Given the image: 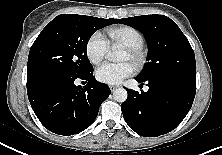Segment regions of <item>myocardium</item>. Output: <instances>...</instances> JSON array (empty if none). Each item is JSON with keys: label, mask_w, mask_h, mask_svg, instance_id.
<instances>
[{"label": "myocardium", "mask_w": 222, "mask_h": 155, "mask_svg": "<svg viewBox=\"0 0 222 155\" xmlns=\"http://www.w3.org/2000/svg\"><path fill=\"white\" fill-rule=\"evenodd\" d=\"M125 51L129 54L131 62L136 68H141L146 62V53L142 47H125Z\"/></svg>", "instance_id": "myocardium-1"}]
</instances>
